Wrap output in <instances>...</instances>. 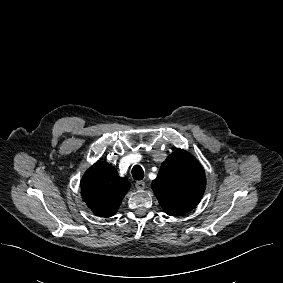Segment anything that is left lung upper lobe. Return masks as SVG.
I'll use <instances>...</instances> for the list:
<instances>
[{
	"instance_id": "5c2ea615",
	"label": "left lung upper lobe",
	"mask_w": 283,
	"mask_h": 283,
	"mask_svg": "<svg viewBox=\"0 0 283 283\" xmlns=\"http://www.w3.org/2000/svg\"><path fill=\"white\" fill-rule=\"evenodd\" d=\"M205 186L202 166L182 149H177L167 157L152 182V189L160 205L171 216L191 211L201 200Z\"/></svg>"
}]
</instances>
